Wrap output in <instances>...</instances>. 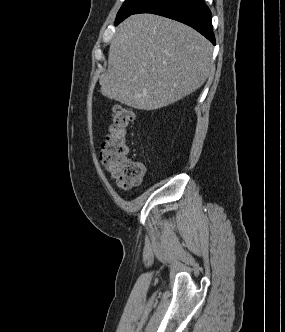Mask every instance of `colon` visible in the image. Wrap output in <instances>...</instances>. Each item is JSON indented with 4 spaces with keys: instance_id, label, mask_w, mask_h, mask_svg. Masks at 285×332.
I'll list each match as a JSON object with an SVG mask.
<instances>
[{
    "instance_id": "colon-1",
    "label": "colon",
    "mask_w": 285,
    "mask_h": 332,
    "mask_svg": "<svg viewBox=\"0 0 285 332\" xmlns=\"http://www.w3.org/2000/svg\"><path fill=\"white\" fill-rule=\"evenodd\" d=\"M134 120L135 112L131 107L115 105L100 151L101 163L123 189L141 184L146 171L142 162L129 158L127 133Z\"/></svg>"
}]
</instances>
